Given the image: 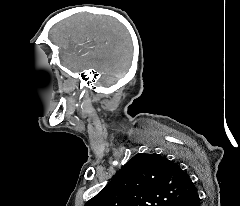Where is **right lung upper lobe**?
<instances>
[{"label":"right lung upper lobe","mask_w":240,"mask_h":206,"mask_svg":"<svg viewBox=\"0 0 240 206\" xmlns=\"http://www.w3.org/2000/svg\"><path fill=\"white\" fill-rule=\"evenodd\" d=\"M195 191L178 164L156 153H139L85 206H171Z\"/></svg>","instance_id":"obj_1"}]
</instances>
